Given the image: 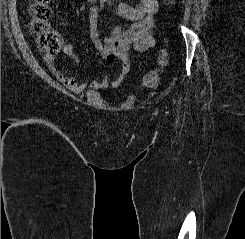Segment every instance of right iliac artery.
Wrapping results in <instances>:
<instances>
[{"mask_svg": "<svg viewBox=\"0 0 245 239\" xmlns=\"http://www.w3.org/2000/svg\"><path fill=\"white\" fill-rule=\"evenodd\" d=\"M105 1H106V0H100V7H101V8H103Z\"/></svg>", "mask_w": 245, "mask_h": 239, "instance_id": "1", "label": "right iliac artery"}]
</instances>
